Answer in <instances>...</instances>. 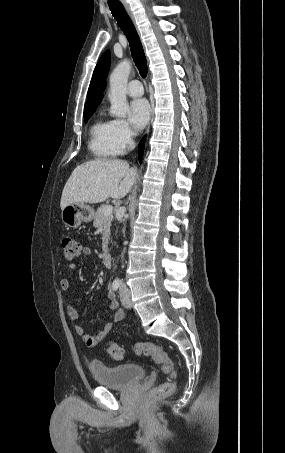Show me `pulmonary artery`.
<instances>
[{
    "label": "pulmonary artery",
    "mask_w": 285,
    "mask_h": 453,
    "mask_svg": "<svg viewBox=\"0 0 285 453\" xmlns=\"http://www.w3.org/2000/svg\"><path fill=\"white\" fill-rule=\"evenodd\" d=\"M143 86H142V83L137 80V79H134V80H131L129 83H128V86H127V94L131 97H139L141 95H143Z\"/></svg>",
    "instance_id": "e3ab8cb5"
}]
</instances>
